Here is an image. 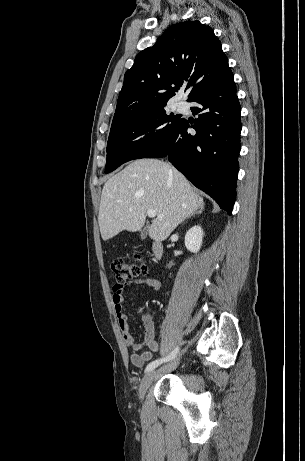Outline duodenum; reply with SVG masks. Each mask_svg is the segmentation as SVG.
Segmentation results:
<instances>
[{
  "label": "duodenum",
  "mask_w": 305,
  "mask_h": 461,
  "mask_svg": "<svg viewBox=\"0 0 305 461\" xmlns=\"http://www.w3.org/2000/svg\"><path fill=\"white\" fill-rule=\"evenodd\" d=\"M151 248H152V256L154 259H160L161 255H162V252H163V246L161 244L160 241H153L152 242V245H151Z\"/></svg>",
  "instance_id": "obj_1"
}]
</instances>
